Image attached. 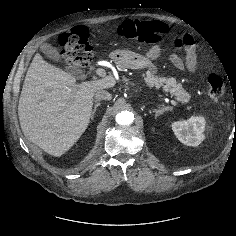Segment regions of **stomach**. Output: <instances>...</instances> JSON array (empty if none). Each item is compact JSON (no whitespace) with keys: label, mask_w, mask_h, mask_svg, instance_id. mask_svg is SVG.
I'll use <instances>...</instances> for the list:
<instances>
[{"label":"stomach","mask_w":236,"mask_h":236,"mask_svg":"<svg viewBox=\"0 0 236 236\" xmlns=\"http://www.w3.org/2000/svg\"><path fill=\"white\" fill-rule=\"evenodd\" d=\"M110 58L120 68L144 69L151 65V59L147 56L128 50L113 51Z\"/></svg>","instance_id":"1"}]
</instances>
